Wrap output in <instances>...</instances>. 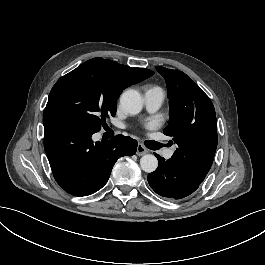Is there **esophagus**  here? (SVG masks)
Segmentation results:
<instances>
[{
    "label": "esophagus",
    "mask_w": 265,
    "mask_h": 265,
    "mask_svg": "<svg viewBox=\"0 0 265 265\" xmlns=\"http://www.w3.org/2000/svg\"><path fill=\"white\" fill-rule=\"evenodd\" d=\"M147 153H148V150L144 147L143 144L139 143L138 146H137L136 154L138 156H143V155H145Z\"/></svg>",
    "instance_id": "1"
}]
</instances>
